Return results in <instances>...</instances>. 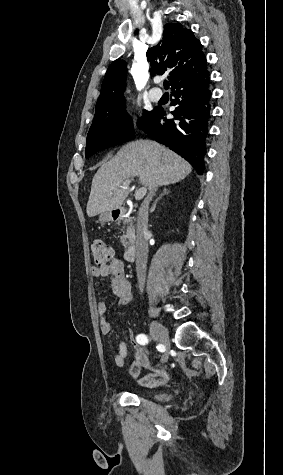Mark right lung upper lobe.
<instances>
[{"label":"right lung upper lobe","instance_id":"right-lung-upper-lobe-1","mask_svg":"<svg viewBox=\"0 0 283 475\" xmlns=\"http://www.w3.org/2000/svg\"><path fill=\"white\" fill-rule=\"evenodd\" d=\"M151 74L168 75L171 86L182 78L206 68L202 45L193 32L181 24L164 26L163 39L147 51ZM127 64L117 59L109 66L96 108L124 104Z\"/></svg>","mask_w":283,"mask_h":475}]
</instances>
